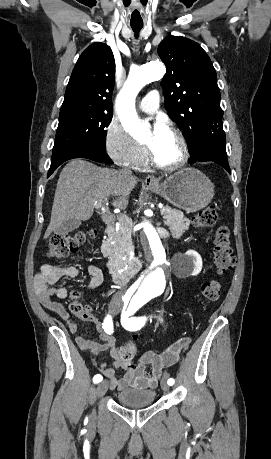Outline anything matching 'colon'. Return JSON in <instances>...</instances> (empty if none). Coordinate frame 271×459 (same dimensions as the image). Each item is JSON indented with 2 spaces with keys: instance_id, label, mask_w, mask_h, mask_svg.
I'll return each mask as SVG.
<instances>
[{
  "instance_id": "obj_1",
  "label": "colon",
  "mask_w": 271,
  "mask_h": 459,
  "mask_svg": "<svg viewBox=\"0 0 271 459\" xmlns=\"http://www.w3.org/2000/svg\"><path fill=\"white\" fill-rule=\"evenodd\" d=\"M218 222V216L213 208L201 210L193 219L196 227L207 228L213 227ZM94 236L93 231H75L63 235L53 236L48 244V256L54 260H60L76 252L81 246H84ZM213 262L218 274H226L235 265L236 258L233 253L229 230L220 226L214 235L213 240ZM221 294V283L217 279L210 280L203 284L202 295L208 301H216ZM78 295L73 293L75 299L70 310L74 314L84 315L85 307L76 301ZM137 354L134 343L128 342L119 349L121 360L128 366L132 367L133 359Z\"/></svg>"
}]
</instances>
